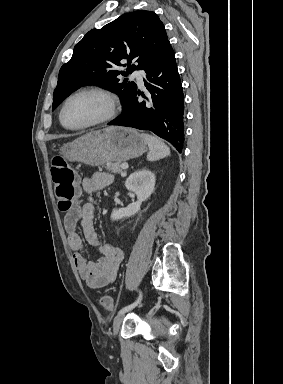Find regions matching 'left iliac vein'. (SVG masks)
I'll return each instance as SVG.
<instances>
[{"instance_id": "4c4485c4", "label": "left iliac vein", "mask_w": 283, "mask_h": 384, "mask_svg": "<svg viewBox=\"0 0 283 384\" xmlns=\"http://www.w3.org/2000/svg\"><path fill=\"white\" fill-rule=\"evenodd\" d=\"M126 313V312H125ZM125 313L118 314L113 321V333L116 335L120 329Z\"/></svg>"}]
</instances>
